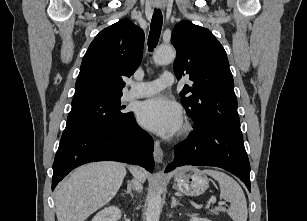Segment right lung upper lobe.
Returning a JSON list of instances; mask_svg holds the SVG:
<instances>
[{
    "mask_svg": "<svg viewBox=\"0 0 307 221\" xmlns=\"http://www.w3.org/2000/svg\"><path fill=\"white\" fill-rule=\"evenodd\" d=\"M143 45V30L130 20L102 30L82 60L72 103L122 96V77H130L139 66Z\"/></svg>",
    "mask_w": 307,
    "mask_h": 221,
    "instance_id": "cb5924a9",
    "label": "right lung upper lobe"
}]
</instances>
